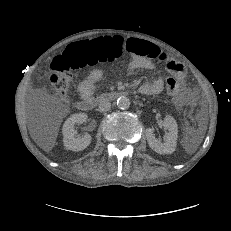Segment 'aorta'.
<instances>
[{
  "mask_svg": "<svg viewBox=\"0 0 231 231\" xmlns=\"http://www.w3.org/2000/svg\"><path fill=\"white\" fill-rule=\"evenodd\" d=\"M117 106L120 109H128L130 107V99L126 96H120L117 99Z\"/></svg>",
  "mask_w": 231,
  "mask_h": 231,
  "instance_id": "762f6f07",
  "label": "aorta"
}]
</instances>
